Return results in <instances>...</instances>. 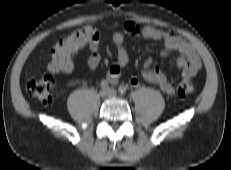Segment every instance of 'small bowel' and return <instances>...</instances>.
<instances>
[{"label":"small bowel","instance_id":"obj_1","mask_svg":"<svg viewBox=\"0 0 231 170\" xmlns=\"http://www.w3.org/2000/svg\"><path fill=\"white\" fill-rule=\"evenodd\" d=\"M143 37L147 40H155L162 43L161 55L169 56L172 52L180 53V57L176 61L177 70L182 72L185 79L193 78L201 69V60L198 52L193 45L182 39L174 32H165L155 27H140L133 22H126L122 25L120 31L113 33L112 41L116 47V62L110 67L107 72V80L116 84L121 76V69L125 67L129 61V55L125 47V37ZM89 55L87 63L90 68H96L101 61L99 52V39H95L88 43ZM142 77L149 83L157 85L162 91L167 94H174L175 88L168 81L167 77L148 59L141 72ZM133 87L139 85L136 77L129 80Z\"/></svg>","mask_w":231,"mask_h":170}]
</instances>
